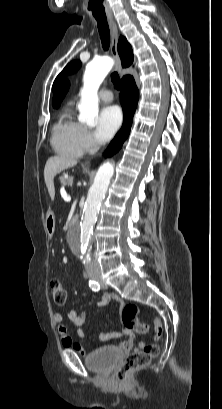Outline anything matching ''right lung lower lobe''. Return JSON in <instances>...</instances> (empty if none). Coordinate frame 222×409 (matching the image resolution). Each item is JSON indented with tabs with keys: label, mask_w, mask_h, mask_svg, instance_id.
I'll use <instances>...</instances> for the list:
<instances>
[{
	"label": "right lung lower lobe",
	"mask_w": 222,
	"mask_h": 409,
	"mask_svg": "<svg viewBox=\"0 0 222 409\" xmlns=\"http://www.w3.org/2000/svg\"><path fill=\"white\" fill-rule=\"evenodd\" d=\"M138 98L139 93L135 81L132 76H128L123 80V89L120 95V102L124 113L123 125L109 145L106 151V156H111L116 153L127 139L130 133L133 115L137 107Z\"/></svg>",
	"instance_id": "1"
}]
</instances>
